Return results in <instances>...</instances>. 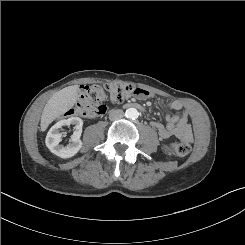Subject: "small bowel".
<instances>
[{
    "label": "small bowel",
    "mask_w": 245,
    "mask_h": 245,
    "mask_svg": "<svg viewBox=\"0 0 245 245\" xmlns=\"http://www.w3.org/2000/svg\"><path fill=\"white\" fill-rule=\"evenodd\" d=\"M145 93L136 95L138 99L146 100L152 98V94L146 90ZM183 109V105L174 101L169 105V112L166 115L167 124L163 125L159 122H151V126L157 130L161 138L167 139L175 136L184 141H190L192 139V129L188 121V114L186 111H181L180 113L173 115L170 111L176 110L180 111Z\"/></svg>",
    "instance_id": "1"
}]
</instances>
